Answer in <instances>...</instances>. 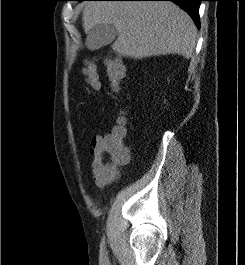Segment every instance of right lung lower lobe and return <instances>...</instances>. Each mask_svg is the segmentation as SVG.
I'll list each match as a JSON object with an SVG mask.
<instances>
[{"instance_id":"98d812e1","label":"right lung lower lobe","mask_w":245,"mask_h":265,"mask_svg":"<svg viewBox=\"0 0 245 265\" xmlns=\"http://www.w3.org/2000/svg\"><path fill=\"white\" fill-rule=\"evenodd\" d=\"M124 1H172L182 7L199 27V6L202 0H124Z\"/></svg>"}]
</instances>
